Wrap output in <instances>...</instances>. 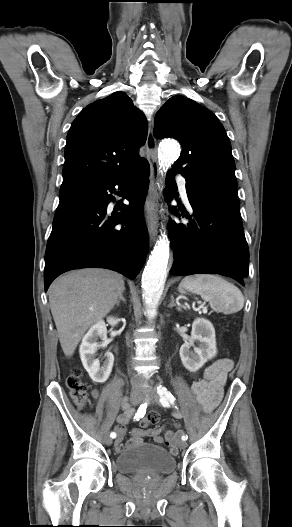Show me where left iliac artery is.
<instances>
[{"instance_id": "obj_1", "label": "left iliac artery", "mask_w": 292, "mask_h": 527, "mask_svg": "<svg viewBox=\"0 0 292 527\" xmlns=\"http://www.w3.org/2000/svg\"><path fill=\"white\" fill-rule=\"evenodd\" d=\"M157 393L160 397L159 401L161 403L162 406L164 407H170V404L174 405V401H175V398L173 397V395L171 394L170 391H168V389L163 386V385H158L157 386ZM188 439V436L187 435H182V440L186 441Z\"/></svg>"}]
</instances>
